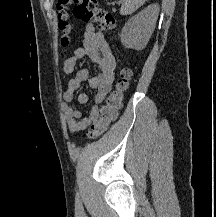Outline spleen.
Listing matches in <instances>:
<instances>
[{"label": "spleen", "mask_w": 216, "mask_h": 217, "mask_svg": "<svg viewBox=\"0 0 216 217\" xmlns=\"http://www.w3.org/2000/svg\"><path fill=\"white\" fill-rule=\"evenodd\" d=\"M147 0H122L121 15H130L142 6Z\"/></svg>", "instance_id": "3e777b00"}]
</instances>
